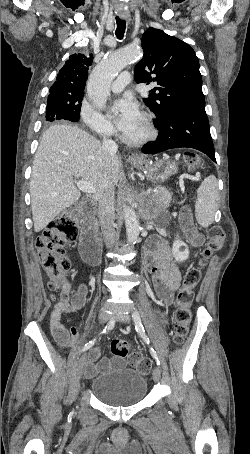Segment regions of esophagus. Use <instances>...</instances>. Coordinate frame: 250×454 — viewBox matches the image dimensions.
Wrapping results in <instances>:
<instances>
[{
  "instance_id": "esophagus-1",
  "label": "esophagus",
  "mask_w": 250,
  "mask_h": 454,
  "mask_svg": "<svg viewBox=\"0 0 250 454\" xmlns=\"http://www.w3.org/2000/svg\"><path fill=\"white\" fill-rule=\"evenodd\" d=\"M121 18H122V19H125V20H127V21H130V15H121ZM139 157H140V156H139L138 153H132V154L130 155V159H132V160L139 159Z\"/></svg>"
}]
</instances>
